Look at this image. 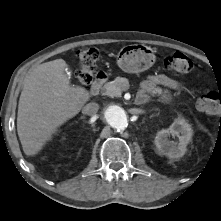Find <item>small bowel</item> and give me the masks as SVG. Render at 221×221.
<instances>
[{
	"label": "small bowel",
	"mask_w": 221,
	"mask_h": 221,
	"mask_svg": "<svg viewBox=\"0 0 221 221\" xmlns=\"http://www.w3.org/2000/svg\"><path fill=\"white\" fill-rule=\"evenodd\" d=\"M160 85L175 90L182 88V85L177 80L169 77L168 75L156 74L150 76L145 82H143L141 94L146 95L145 93L153 92L155 88Z\"/></svg>",
	"instance_id": "c3829d8e"
}]
</instances>
